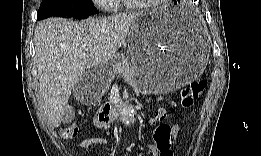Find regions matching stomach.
I'll list each match as a JSON object with an SVG mask.
<instances>
[{
    "label": "stomach",
    "mask_w": 261,
    "mask_h": 156,
    "mask_svg": "<svg viewBox=\"0 0 261 156\" xmlns=\"http://www.w3.org/2000/svg\"><path fill=\"white\" fill-rule=\"evenodd\" d=\"M187 3L170 2L143 13L133 23L128 47L137 68L132 81L143 92L176 90L195 80L208 62V46L186 10ZM127 64L117 53L109 61L84 72L92 95L108 88L112 70Z\"/></svg>",
    "instance_id": "obj_1"
}]
</instances>
